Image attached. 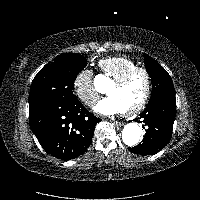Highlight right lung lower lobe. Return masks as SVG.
<instances>
[{
  "mask_svg": "<svg viewBox=\"0 0 200 200\" xmlns=\"http://www.w3.org/2000/svg\"><path fill=\"white\" fill-rule=\"evenodd\" d=\"M98 122L78 99L29 104L31 130L43 149L61 160L74 159L86 151Z\"/></svg>",
  "mask_w": 200,
  "mask_h": 200,
  "instance_id": "1",
  "label": "right lung lower lobe"
}]
</instances>
